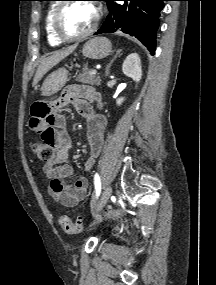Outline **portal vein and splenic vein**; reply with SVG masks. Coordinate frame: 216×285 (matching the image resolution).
<instances>
[{
    "label": "portal vein and splenic vein",
    "mask_w": 216,
    "mask_h": 285,
    "mask_svg": "<svg viewBox=\"0 0 216 285\" xmlns=\"http://www.w3.org/2000/svg\"><path fill=\"white\" fill-rule=\"evenodd\" d=\"M95 74H97V70H91V72H90V75H95Z\"/></svg>",
    "instance_id": "obj_1"
}]
</instances>
